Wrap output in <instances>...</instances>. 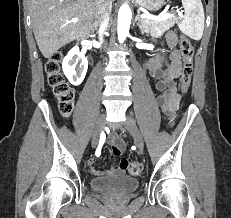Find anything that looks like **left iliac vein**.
I'll return each mask as SVG.
<instances>
[{"mask_svg": "<svg viewBox=\"0 0 231 218\" xmlns=\"http://www.w3.org/2000/svg\"><path fill=\"white\" fill-rule=\"evenodd\" d=\"M125 129L133 136L135 145L140 154L144 152V142L142 135L133 119H129L124 123Z\"/></svg>", "mask_w": 231, "mask_h": 218, "instance_id": "obj_1", "label": "left iliac vein"}]
</instances>
